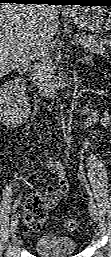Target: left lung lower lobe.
Here are the masks:
<instances>
[{
    "label": "left lung lower lobe",
    "instance_id": "left-lung-lower-lobe-1",
    "mask_svg": "<svg viewBox=\"0 0 111 257\" xmlns=\"http://www.w3.org/2000/svg\"><path fill=\"white\" fill-rule=\"evenodd\" d=\"M71 5L77 4L81 6H88L93 4H99L104 6H111V0H70Z\"/></svg>",
    "mask_w": 111,
    "mask_h": 257
}]
</instances>
